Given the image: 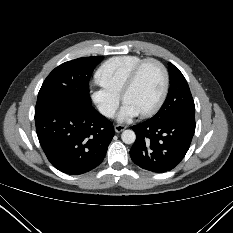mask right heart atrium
Returning <instances> with one entry per match:
<instances>
[{
    "label": "right heart atrium",
    "mask_w": 233,
    "mask_h": 233,
    "mask_svg": "<svg viewBox=\"0 0 233 233\" xmlns=\"http://www.w3.org/2000/svg\"><path fill=\"white\" fill-rule=\"evenodd\" d=\"M91 99L105 117L114 116L120 103V95L101 85L98 81L91 90Z\"/></svg>",
    "instance_id": "right-heart-atrium-1"
}]
</instances>
